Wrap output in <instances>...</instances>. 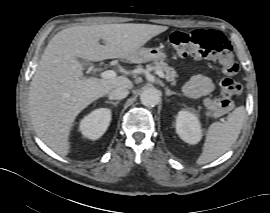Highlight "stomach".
I'll use <instances>...</instances> for the list:
<instances>
[{
	"mask_svg": "<svg viewBox=\"0 0 270 213\" xmlns=\"http://www.w3.org/2000/svg\"><path fill=\"white\" fill-rule=\"evenodd\" d=\"M167 55L160 48L140 47L133 55L132 61L135 63L148 62L153 60H164Z\"/></svg>",
	"mask_w": 270,
	"mask_h": 213,
	"instance_id": "0dacf381",
	"label": "stomach"
}]
</instances>
